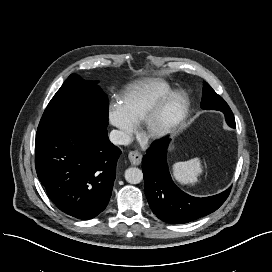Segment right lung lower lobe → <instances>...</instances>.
<instances>
[{"label":"right lung lower lobe","mask_w":272,"mask_h":272,"mask_svg":"<svg viewBox=\"0 0 272 272\" xmlns=\"http://www.w3.org/2000/svg\"><path fill=\"white\" fill-rule=\"evenodd\" d=\"M120 153L106 128L81 122L36 133L38 178L52 202L78 219L94 218L106 208Z\"/></svg>","instance_id":"right-lung-lower-lobe-1"}]
</instances>
